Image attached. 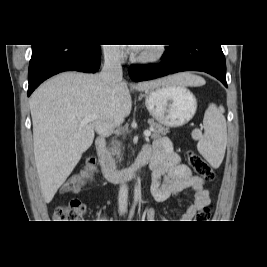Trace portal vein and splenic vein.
<instances>
[{
  "label": "portal vein and splenic vein",
  "mask_w": 267,
  "mask_h": 267,
  "mask_svg": "<svg viewBox=\"0 0 267 267\" xmlns=\"http://www.w3.org/2000/svg\"><path fill=\"white\" fill-rule=\"evenodd\" d=\"M98 118V116L97 115H95V114H93V115H87V116H85L83 119H82V121L80 122V126H83V125H85V124H87V123H89V122H91V121H93V120H96ZM151 135V131H149V130H146L145 132H144V136L145 137H149Z\"/></svg>",
  "instance_id": "portal-vein-and-splenic-vein-1"
}]
</instances>
